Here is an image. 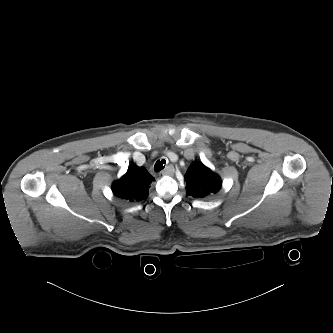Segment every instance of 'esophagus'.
I'll use <instances>...</instances> for the list:
<instances>
[{
	"mask_svg": "<svg viewBox=\"0 0 333 333\" xmlns=\"http://www.w3.org/2000/svg\"><path fill=\"white\" fill-rule=\"evenodd\" d=\"M174 166L168 165L164 170L159 173V176H173L174 175Z\"/></svg>",
	"mask_w": 333,
	"mask_h": 333,
	"instance_id": "obj_1",
	"label": "esophagus"
}]
</instances>
